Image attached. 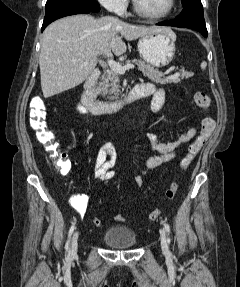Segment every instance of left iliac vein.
Returning <instances> with one entry per match:
<instances>
[{"label":"left iliac vein","instance_id":"4c4485c4","mask_svg":"<svg viewBox=\"0 0 240 287\" xmlns=\"http://www.w3.org/2000/svg\"><path fill=\"white\" fill-rule=\"evenodd\" d=\"M160 241H161V248L163 252L168 251V245H167V240H166V234L163 229L160 230Z\"/></svg>","mask_w":240,"mask_h":287}]
</instances>
